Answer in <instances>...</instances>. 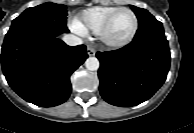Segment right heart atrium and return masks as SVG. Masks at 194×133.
Listing matches in <instances>:
<instances>
[{"mask_svg": "<svg viewBox=\"0 0 194 133\" xmlns=\"http://www.w3.org/2000/svg\"><path fill=\"white\" fill-rule=\"evenodd\" d=\"M70 28L73 32L79 35H84L86 33L85 27L78 19H73L70 21Z\"/></svg>", "mask_w": 194, "mask_h": 133, "instance_id": "right-heart-atrium-1", "label": "right heart atrium"}]
</instances>
